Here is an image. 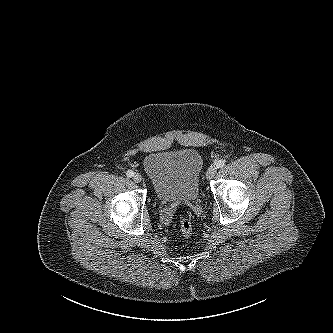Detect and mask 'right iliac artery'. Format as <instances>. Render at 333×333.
<instances>
[{"mask_svg":"<svg viewBox=\"0 0 333 333\" xmlns=\"http://www.w3.org/2000/svg\"><path fill=\"white\" fill-rule=\"evenodd\" d=\"M133 171H131V170H128L127 172H126V175H127V177H132L133 176Z\"/></svg>","mask_w":333,"mask_h":333,"instance_id":"right-iliac-artery-1","label":"right iliac artery"}]
</instances>
